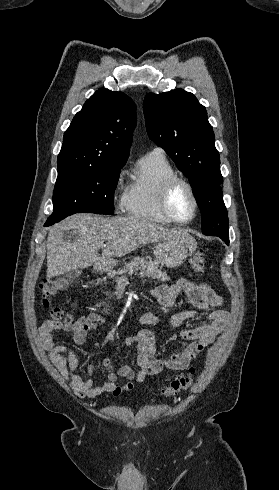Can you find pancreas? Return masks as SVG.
Segmentation results:
<instances>
[{
  "label": "pancreas",
  "mask_w": 279,
  "mask_h": 490,
  "mask_svg": "<svg viewBox=\"0 0 279 490\" xmlns=\"http://www.w3.org/2000/svg\"><path fill=\"white\" fill-rule=\"evenodd\" d=\"M163 266H159V262H148L145 258H140V260H133V262H127L124 264L123 268L118 270L117 274L123 276V274H135L140 270L138 276L140 278H152V280H158V282H168L166 272H162ZM103 294H108V292H103Z\"/></svg>",
  "instance_id": "1"
}]
</instances>
